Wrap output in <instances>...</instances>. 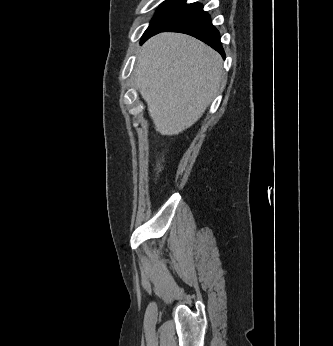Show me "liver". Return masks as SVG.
<instances>
[{"mask_svg":"<svg viewBox=\"0 0 333 346\" xmlns=\"http://www.w3.org/2000/svg\"><path fill=\"white\" fill-rule=\"evenodd\" d=\"M134 75L156 131L178 135L203 115L216 96L222 59L191 36L160 33L140 49Z\"/></svg>","mask_w":333,"mask_h":346,"instance_id":"obj_1","label":"liver"}]
</instances>
